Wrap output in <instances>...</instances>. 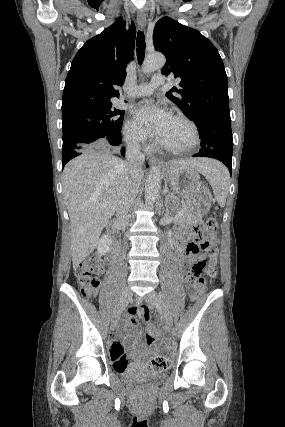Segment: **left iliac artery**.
I'll return each instance as SVG.
<instances>
[{"mask_svg": "<svg viewBox=\"0 0 285 427\" xmlns=\"http://www.w3.org/2000/svg\"><path fill=\"white\" fill-rule=\"evenodd\" d=\"M160 296L162 297V298H164V296L160 293Z\"/></svg>", "mask_w": 285, "mask_h": 427, "instance_id": "obj_1", "label": "left iliac artery"}]
</instances>
